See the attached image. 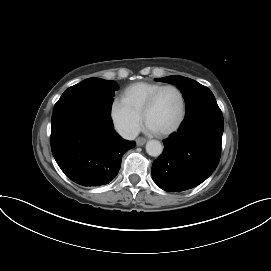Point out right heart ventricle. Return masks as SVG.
<instances>
[{
  "label": "right heart ventricle",
  "instance_id": "obj_1",
  "mask_svg": "<svg viewBox=\"0 0 271 271\" xmlns=\"http://www.w3.org/2000/svg\"><path fill=\"white\" fill-rule=\"evenodd\" d=\"M162 86V84L155 82H136L123 90L121 99L131 110L142 115L143 107L148 98Z\"/></svg>",
  "mask_w": 271,
  "mask_h": 271
}]
</instances>
